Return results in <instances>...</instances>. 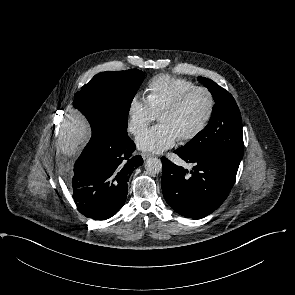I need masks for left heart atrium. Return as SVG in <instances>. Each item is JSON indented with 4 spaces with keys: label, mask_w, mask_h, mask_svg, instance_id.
I'll use <instances>...</instances> for the list:
<instances>
[{
    "label": "left heart atrium",
    "mask_w": 295,
    "mask_h": 295,
    "mask_svg": "<svg viewBox=\"0 0 295 295\" xmlns=\"http://www.w3.org/2000/svg\"><path fill=\"white\" fill-rule=\"evenodd\" d=\"M178 139L179 136L171 127L159 124L139 135L136 143L143 151L160 153L173 147Z\"/></svg>",
    "instance_id": "1"
}]
</instances>
